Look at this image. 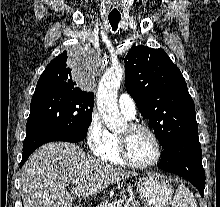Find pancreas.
Listing matches in <instances>:
<instances>
[{"label":"pancreas","instance_id":"pancreas-1","mask_svg":"<svg viewBox=\"0 0 220 207\" xmlns=\"http://www.w3.org/2000/svg\"><path fill=\"white\" fill-rule=\"evenodd\" d=\"M109 204V201L106 200L104 202H102L99 206L97 207H107ZM123 207H141L140 206V202L136 201V200H128Z\"/></svg>","mask_w":220,"mask_h":207}]
</instances>
